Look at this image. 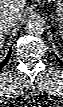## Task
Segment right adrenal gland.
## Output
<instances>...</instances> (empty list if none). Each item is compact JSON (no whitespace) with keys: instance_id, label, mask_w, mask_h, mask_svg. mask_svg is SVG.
<instances>
[{"instance_id":"2a0ac1e0","label":"right adrenal gland","mask_w":63,"mask_h":107,"mask_svg":"<svg viewBox=\"0 0 63 107\" xmlns=\"http://www.w3.org/2000/svg\"><path fill=\"white\" fill-rule=\"evenodd\" d=\"M2 45H3V40H2V44H1V47H2Z\"/></svg>"}]
</instances>
